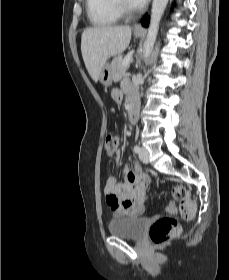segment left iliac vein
Returning a JSON list of instances; mask_svg holds the SVG:
<instances>
[{
  "label": "left iliac vein",
  "instance_id": "1",
  "mask_svg": "<svg viewBox=\"0 0 229 280\" xmlns=\"http://www.w3.org/2000/svg\"><path fill=\"white\" fill-rule=\"evenodd\" d=\"M139 159L147 164L149 162V152L146 148L142 147L140 152H139Z\"/></svg>",
  "mask_w": 229,
  "mask_h": 280
}]
</instances>
